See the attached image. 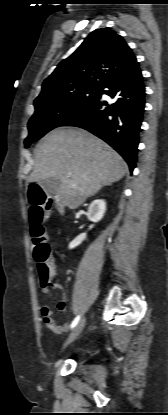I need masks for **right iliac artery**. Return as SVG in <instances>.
<instances>
[{"label": "right iliac artery", "instance_id": "82829eb1", "mask_svg": "<svg viewBox=\"0 0 168 415\" xmlns=\"http://www.w3.org/2000/svg\"><path fill=\"white\" fill-rule=\"evenodd\" d=\"M79 320H80V315H78V316H77V317L73 320V322L71 323L70 328H74V327L78 324Z\"/></svg>", "mask_w": 168, "mask_h": 415}]
</instances>
